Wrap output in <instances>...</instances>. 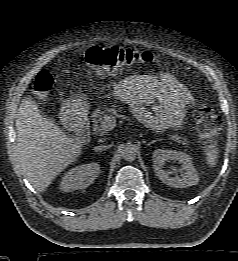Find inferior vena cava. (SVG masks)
Wrapping results in <instances>:
<instances>
[{
  "label": "inferior vena cava",
  "mask_w": 238,
  "mask_h": 261,
  "mask_svg": "<svg viewBox=\"0 0 238 261\" xmlns=\"http://www.w3.org/2000/svg\"><path fill=\"white\" fill-rule=\"evenodd\" d=\"M108 148H109V146L100 145V146H96V147L94 148V150H95V151H102V150H106V149H108Z\"/></svg>",
  "instance_id": "inferior-vena-cava-1"
}]
</instances>
